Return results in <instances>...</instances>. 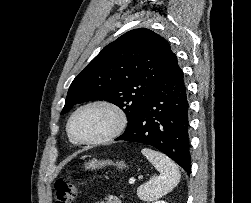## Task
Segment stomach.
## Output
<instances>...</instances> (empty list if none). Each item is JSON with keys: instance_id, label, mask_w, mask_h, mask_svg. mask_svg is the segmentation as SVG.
<instances>
[{"instance_id": "stomach-1", "label": "stomach", "mask_w": 251, "mask_h": 203, "mask_svg": "<svg viewBox=\"0 0 251 203\" xmlns=\"http://www.w3.org/2000/svg\"><path fill=\"white\" fill-rule=\"evenodd\" d=\"M107 164H111V162H108V161H98V160H91L87 163H85V169H99V168H102L104 166H106ZM115 166H117V168L119 169H123L126 167V164L123 162V161H120V162H116L114 163Z\"/></svg>"}]
</instances>
